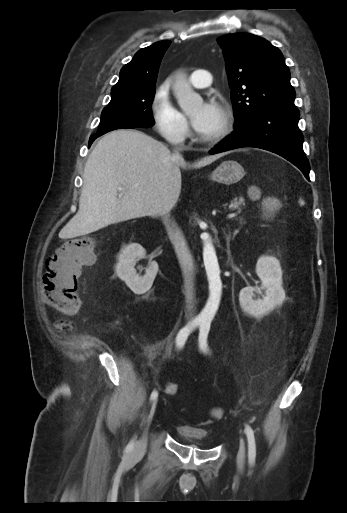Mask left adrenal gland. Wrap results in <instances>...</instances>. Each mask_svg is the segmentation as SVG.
<instances>
[{
  "label": "left adrenal gland",
  "instance_id": "a2214340",
  "mask_svg": "<svg viewBox=\"0 0 347 513\" xmlns=\"http://www.w3.org/2000/svg\"><path fill=\"white\" fill-rule=\"evenodd\" d=\"M240 225H242V222H240ZM239 230H240V227H239V228H237V229L234 231L233 236H232V239H233V240L235 239V236L238 234ZM229 236H231V232H230V231H229Z\"/></svg>",
  "mask_w": 347,
  "mask_h": 513
}]
</instances>
